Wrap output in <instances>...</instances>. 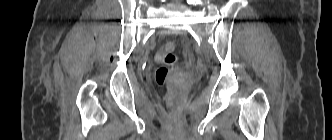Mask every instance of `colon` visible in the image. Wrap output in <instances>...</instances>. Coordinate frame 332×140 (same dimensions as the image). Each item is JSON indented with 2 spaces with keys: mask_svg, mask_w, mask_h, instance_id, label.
Wrapping results in <instances>:
<instances>
[{
  "mask_svg": "<svg viewBox=\"0 0 332 140\" xmlns=\"http://www.w3.org/2000/svg\"><path fill=\"white\" fill-rule=\"evenodd\" d=\"M175 44L167 43L156 53V61L160 67L156 70L155 79L160 86H166L171 71L178 63V57L174 53ZM170 107V106H169Z\"/></svg>",
  "mask_w": 332,
  "mask_h": 140,
  "instance_id": "1",
  "label": "colon"
}]
</instances>
